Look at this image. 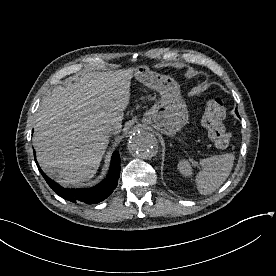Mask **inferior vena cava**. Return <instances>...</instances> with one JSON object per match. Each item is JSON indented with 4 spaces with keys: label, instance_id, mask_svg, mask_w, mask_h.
<instances>
[{
    "label": "inferior vena cava",
    "instance_id": "602c4592",
    "mask_svg": "<svg viewBox=\"0 0 276 276\" xmlns=\"http://www.w3.org/2000/svg\"><path fill=\"white\" fill-rule=\"evenodd\" d=\"M119 130V125L118 124H115V123H112V124H106L104 126V131L106 133H114V132H117Z\"/></svg>",
    "mask_w": 276,
    "mask_h": 276
}]
</instances>
